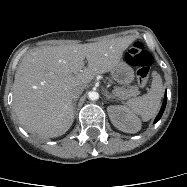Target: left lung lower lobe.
I'll list each match as a JSON object with an SVG mask.
<instances>
[{"mask_svg":"<svg viewBox=\"0 0 187 187\" xmlns=\"http://www.w3.org/2000/svg\"><path fill=\"white\" fill-rule=\"evenodd\" d=\"M166 101H167V94H165V97H164V101H163V104H162V107L160 109V112L159 114L157 115V117L155 118V121L154 123H156L157 121H159V119L161 118L164 110H165V106H166Z\"/></svg>","mask_w":187,"mask_h":187,"instance_id":"left-lung-lower-lobe-1","label":"left lung lower lobe"}]
</instances>
